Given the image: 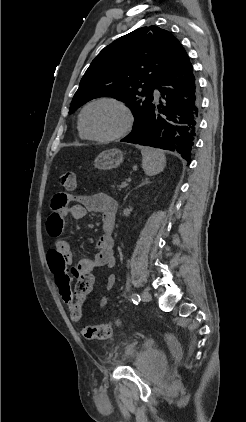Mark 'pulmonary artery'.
<instances>
[{
    "label": "pulmonary artery",
    "instance_id": "1",
    "mask_svg": "<svg viewBox=\"0 0 246 422\" xmlns=\"http://www.w3.org/2000/svg\"><path fill=\"white\" fill-rule=\"evenodd\" d=\"M154 96H155L156 98H158V97H159V91H158L157 89H155V90H154Z\"/></svg>",
    "mask_w": 246,
    "mask_h": 422
}]
</instances>
